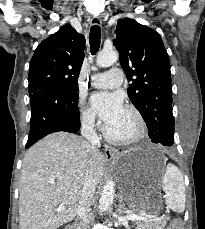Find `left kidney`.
<instances>
[{"label": "left kidney", "instance_id": "left-kidney-1", "mask_svg": "<svg viewBox=\"0 0 205 229\" xmlns=\"http://www.w3.org/2000/svg\"><path fill=\"white\" fill-rule=\"evenodd\" d=\"M140 219H145V217H141ZM136 229H149L147 225H138Z\"/></svg>", "mask_w": 205, "mask_h": 229}]
</instances>
